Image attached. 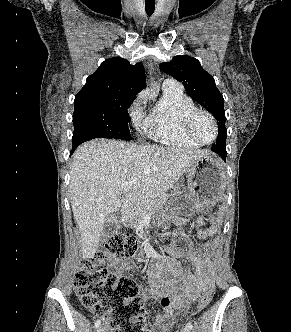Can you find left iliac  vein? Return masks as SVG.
<instances>
[{"mask_svg": "<svg viewBox=\"0 0 291 332\" xmlns=\"http://www.w3.org/2000/svg\"><path fill=\"white\" fill-rule=\"evenodd\" d=\"M181 332H191L189 328L187 327H184L181 329Z\"/></svg>", "mask_w": 291, "mask_h": 332, "instance_id": "4c4485c4", "label": "left iliac vein"}]
</instances>
